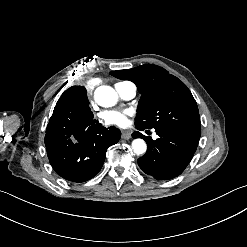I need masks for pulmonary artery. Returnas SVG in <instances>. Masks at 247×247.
<instances>
[{"label": "pulmonary artery", "instance_id": "e3ab8cb5", "mask_svg": "<svg viewBox=\"0 0 247 247\" xmlns=\"http://www.w3.org/2000/svg\"><path fill=\"white\" fill-rule=\"evenodd\" d=\"M118 94L125 100L134 98L137 94V88L133 83H118L115 86Z\"/></svg>", "mask_w": 247, "mask_h": 247}]
</instances>
